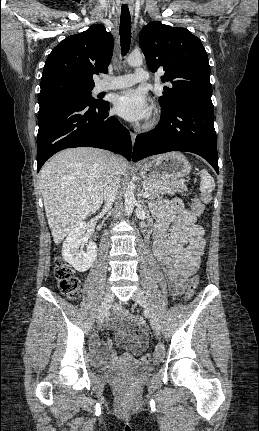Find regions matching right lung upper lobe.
I'll return each mask as SVG.
<instances>
[{
	"label": "right lung upper lobe",
	"mask_w": 259,
	"mask_h": 431,
	"mask_svg": "<svg viewBox=\"0 0 259 431\" xmlns=\"http://www.w3.org/2000/svg\"><path fill=\"white\" fill-rule=\"evenodd\" d=\"M113 47L112 34L99 24L65 38L48 55L41 78V89L51 82L60 81L82 88H93V75L108 72Z\"/></svg>",
	"instance_id": "obj_1"
}]
</instances>
